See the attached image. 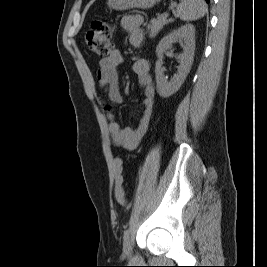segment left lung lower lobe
<instances>
[{
  "mask_svg": "<svg viewBox=\"0 0 267 267\" xmlns=\"http://www.w3.org/2000/svg\"><path fill=\"white\" fill-rule=\"evenodd\" d=\"M207 3H209L210 2V0H205Z\"/></svg>",
  "mask_w": 267,
  "mask_h": 267,
  "instance_id": "left-lung-lower-lobe-1",
  "label": "left lung lower lobe"
}]
</instances>
